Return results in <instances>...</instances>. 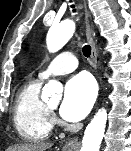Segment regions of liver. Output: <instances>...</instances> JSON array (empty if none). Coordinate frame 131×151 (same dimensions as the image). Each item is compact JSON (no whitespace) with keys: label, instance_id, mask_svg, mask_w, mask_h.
I'll return each mask as SVG.
<instances>
[{"label":"liver","instance_id":"obj_1","mask_svg":"<svg viewBox=\"0 0 131 151\" xmlns=\"http://www.w3.org/2000/svg\"><path fill=\"white\" fill-rule=\"evenodd\" d=\"M51 146L49 143L20 144L8 148L7 151H46Z\"/></svg>","mask_w":131,"mask_h":151}]
</instances>
